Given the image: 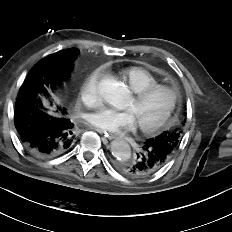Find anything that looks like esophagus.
<instances>
[{"label": "esophagus", "instance_id": "1", "mask_svg": "<svg viewBox=\"0 0 232 232\" xmlns=\"http://www.w3.org/2000/svg\"><path fill=\"white\" fill-rule=\"evenodd\" d=\"M95 131H97L99 134L103 135L104 138H107L109 140L111 139H114L115 138V135L111 134V133H108L106 131H103L101 129H98V128H93Z\"/></svg>", "mask_w": 232, "mask_h": 232}]
</instances>
